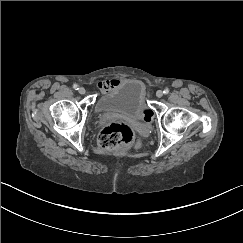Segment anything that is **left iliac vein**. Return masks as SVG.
<instances>
[{
	"label": "left iliac vein",
	"instance_id": "left-iliac-vein-1",
	"mask_svg": "<svg viewBox=\"0 0 243 243\" xmlns=\"http://www.w3.org/2000/svg\"><path fill=\"white\" fill-rule=\"evenodd\" d=\"M156 96H157L158 98H161V97L163 96V91L158 90V91L156 92Z\"/></svg>",
	"mask_w": 243,
	"mask_h": 243
}]
</instances>
